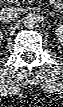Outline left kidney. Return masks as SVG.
I'll list each match as a JSON object with an SVG mask.
<instances>
[{"label":"left kidney","instance_id":"5707ae66","mask_svg":"<svg viewBox=\"0 0 63 107\" xmlns=\"http://www.w3.org/2000/svg\"><path fill=\"white\" fill-rule=\"evenodd\" d=\"M56 37L58 41L63 44V26L60 25L56 30H55Z\"/></svg>","mask_w":63,"mask_h":107}]
</instances>
